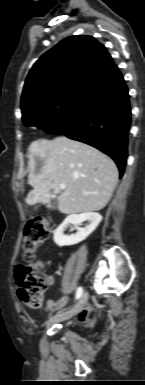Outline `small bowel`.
Wrapping results in <instances>:
<instances>
[{"mask_svg":"<svg viewBox=\"0 0 145 385\" xmlns=\"http://www.w3.org/2000/svg\"><path fill=\"white\" fill-rule=\"evenodd\" d=\"M48 278L50 281V285H53L54 278L52 276H48ZM68 300H69L68 296H63L57 301H53L51 299H48L46 302V310L49 313H53L54 311L65 306L67 304ZM93 308H94L93 305H88L87 307H85L83 309V311L80 313V315L78 317V320L81 324L88 325V326L93 324V321L90 318V313L92 312Z\"/></svg>","mask_w":145,"mask_h":385,"instance_id":"c3829d8e","label":"small bowel"}]
</instances>
